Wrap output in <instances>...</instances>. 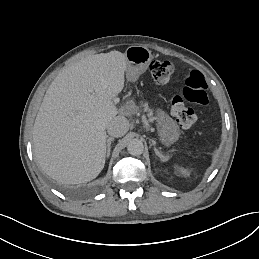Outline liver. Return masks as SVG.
<instances>
[{"label":"liver","mask_w":259,"mask_h":259,"mask_svg":"<svg viewBox=\"0 0 259 259\" xmlns=\"http://www.w3.org/2000/svg\"><path fill=\"white\" fill-rule=\"evenodd\" d=\"M126 56L91 55L60 72L37 113L33 152L38 165L58 181L88 182L106 159V128L122 113L113 98L124 87Z\"/></svg>","instance_id":"obj_1"}]
</instances>
